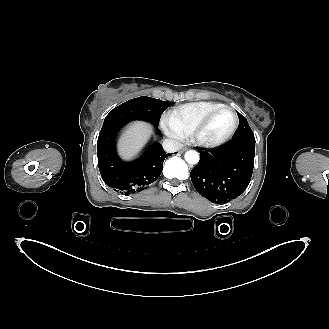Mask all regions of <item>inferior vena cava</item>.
<instances>
[{
  "mask_svg": "<svg viewBox=\"0 0 329 329\" xmlns=\"http://www.w3.org/2000/svg\"><path fill=\"white\" fill-rule=\"evenodd\" d=\"M183 144L177 140L165 139L163 141V148L168 153H173L180 150Z\"/></svg>",
  "mask_w": 329,
  "mask_h": 329,
  "instance_id": "obj_1",
  "label": "inferior vena cava"
}]
</instances>
